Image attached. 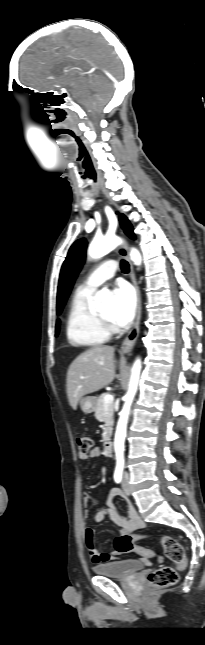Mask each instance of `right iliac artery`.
<instances>
[{
    "instance_id": "obj_1",
    "label": "right iliac artery",
    "mask_w": 205,
    "mask_h": 645,
    "mask_svg": "<svg viewBox=\"0 0 205 645\" xmlns=\"http://www.w3.org/2000/svg\"><path fill=\"white\" fill-rule=\"evenodd\" d=\"M123 467L117 466L114 473V480L116 483H120L122 480Z\"/></svg>"
}]
</instances>
